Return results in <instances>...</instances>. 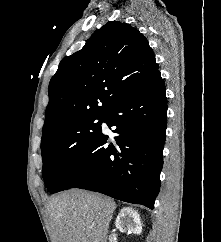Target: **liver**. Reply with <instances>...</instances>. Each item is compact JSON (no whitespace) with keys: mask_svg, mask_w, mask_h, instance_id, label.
Segmentation results:
<instances>
[{"mask_svg":"<svg viewBox=\"0 0 221 242\" xmlns=\"http://www.w3.org/2000/svg\"><path fill=\"white\" fill-rule=\"evenodd\" d=\"M116 203L99 194L72 189L47 204L52 242H107Z\"/></svg>","mask_w":221,"mask_h":242,"instance_id":"liver-1","label":"liver"}]
</instances>
